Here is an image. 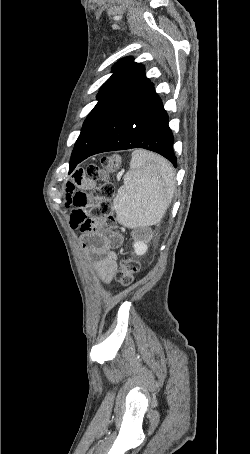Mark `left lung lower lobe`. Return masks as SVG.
<instances>
[{
  "label": "left lung lower lobe",
  "mask_w": 250,
  "mask_h": 454,
  "mask_svg": "<svg viewBox=\"0 0 250 454\" xmlns=\"http://www.w3.org/2000/svg\"><path fill=\"white\" fill-rule=\"evenodd\" d=\"M173 143L168 115L149 83L103 122L80 156L71 157L69 173L89 156L131 148L159 153L177 167Z\"/></svg>",
  "instance_id": "1"
}]
</instances>
